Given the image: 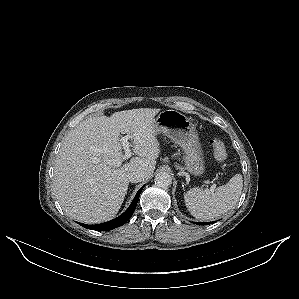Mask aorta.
<instances>
[{"mask_svg":"<svg viewBox=\"0 0 299 299\" xmlns=\"http://www.w3.org/2000/svg\"><path fill=\"white\" fill-rule=\"evenodd\" d=\"M155 184L160 188H168L172 184L171 176L166 172L158 173L155 176Z\"/></svg>","mask_w":299,"mask_h":299,"instance_id":"aorta-1","label":"aorta"}]
</instances>
